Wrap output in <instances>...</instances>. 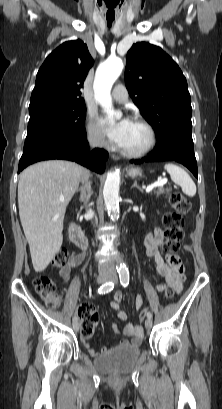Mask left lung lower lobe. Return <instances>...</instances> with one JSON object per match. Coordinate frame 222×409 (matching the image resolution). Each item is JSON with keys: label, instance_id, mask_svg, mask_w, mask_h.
Here are the masks:
<instances>
[{"label": "left lung lower lobe", "instance_id": "1", "mask_svg": "<svg viewBox=\"0 0 222 409\" xmlns=\"http://www.w3.org/2000/svg\"><path fill=\"white\" fill-rule=\"evenodd\" d=\"M153 161H177L185 165L195 177H198L197 162L194 154L191 134L171 132L158 139L153 152L134 163Z\"/></svg>", "mask_w": 222, "mask_h": 409}]
</instances>
